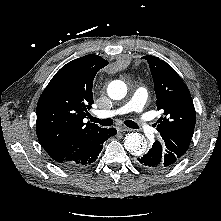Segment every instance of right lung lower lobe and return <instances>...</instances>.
<instances>
[{"mask_svg": "<svg viewBox=\"0 0 221 221\" xmlns=\"http://www.w3.org/2000/svg\"><path fill=\"white\" fill-rule=\"evenodd\" d=\"M117 133L115 128H102L90 141L82 145L77 151L57 162L66 169H81L91 165L99 156L103 148V143Z\"/></svg>", "mask_w": 221, "mask_h": 221, "instance_id": "1", "label": "right lung lower lobe"}]
</instances>
